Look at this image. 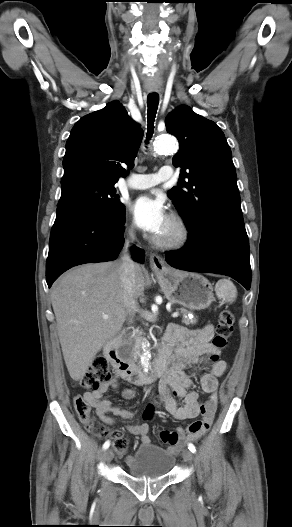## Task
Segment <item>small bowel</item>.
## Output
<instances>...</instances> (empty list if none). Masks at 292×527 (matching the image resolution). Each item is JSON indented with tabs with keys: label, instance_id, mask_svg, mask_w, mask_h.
Masks as SVG:
<instances>
[{
	"label": "small bowel",
	"instance_id": "obj_1",
	"mask_svg": "<svg viewBox=\"0 0 292 527\" xmlns=\"http://www.w3.org/2000/svg\"><path fill=\"white\" fill-rule=\"evenodd\" d=\"M213 335L212 325L198 329H188L179 325L168 327L166 342L170 349V358L167 372L160 382L162 402L168 413L176 420L203 416L201 421L191 423L186 431L179 428L177 431L159 432V439L169 444L168 450L171 453H178L186 442L194 441L202 436L213 422L218 404V378L225 373L226 362L217 361L211 366L210 371L200 378L201 390L210 394L205 402H200L198 392L192 389V382L184 371L186 367L200 363L204 356L219 353L210 342ZM173 346H175L174 351H172ZM122 378V375L117 372L98 390L84 394V398L96 410L100 420L107 425L114 423L112 416L125 419L133 416L132 412L115 407L109 399L102 398L109 388H117ZM172 394L182 398L181 405L173 399ZM122 395L125 399H131L135 392L132 389H124ZM126 430L132 435L139 436L144 444L151 443L147 424L128 425Z\"/></svg>",
	"mask_w": 292,
	"mask_h": 527
}]
</instances>
